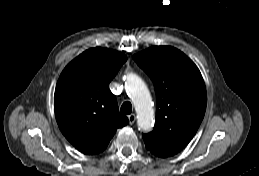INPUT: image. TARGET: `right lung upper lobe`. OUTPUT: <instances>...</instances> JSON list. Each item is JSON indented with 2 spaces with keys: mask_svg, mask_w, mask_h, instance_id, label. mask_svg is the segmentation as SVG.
Listing matches in <instances>:
<instances>
[{
  "mask_svg": "<svg viewBox=\"0 0 259 176\" xmlns=\"http://www.w3.org/2000/svg\"><path fill=\"white\" fill-rule=\"evenodd\" d=\"M126 60L118 51L91 48L70 62L59 77L56 120L67 140L84 154L102 152L117 128L129 122L119 113L108 86Z\"/></svg>",
  "mask_w": 259,
  "mask_h": 176,
  "instance_id": "cb5924a9",
  "label": "right lung upper lobe"
}]
</instances>
